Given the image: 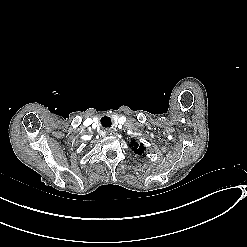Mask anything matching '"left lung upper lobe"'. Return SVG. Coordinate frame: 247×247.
<instances>
[{
	"mask_svg": "<svg viewBox=\"0 0 247 247\" xmlns=\"http://www.w3.org/2000/svg\"><path fill=\"white\" fill-rule=\"evenodd\" d=\"M130 147L134 150V152L138 155H142L144 153L145 147L142 143L138 144L135 140H132Z\"/></svg>",
	"mask_w": 247,
	"mask_h": 247,
	"instance_id": "obj_1",
	"label": "left lung upper lobe"
}]
</instances>
